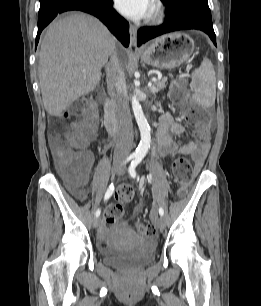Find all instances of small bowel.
Instances as JSON below:
<instances>
[{"label":"small bowel","mask_w":261,"mask_h":306,"mask_svg":"<svg viewBox=\"0 0 261 306\" xmlns=\"http://www.w3.org/2000/svg\"><path fill=\"white\" fill-rule=\"evenodd\" d=\"M186 133V128L176 121L169 113H165L160 117V123L157 131L158 152L164 156H174L183 154L190 156L197 170L201 169L208 155L210 144L208 142H189L179 144L175 138ZM85 156L88 160L89 170L92 167L94 157L91 152H86ZM77 195L82 196V191H77ZM139 211V207L135 212ZM105 234V231H103Z\"/></svg>","instance_id":"obj_1"}]
</instances>
